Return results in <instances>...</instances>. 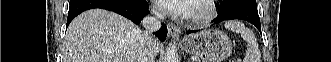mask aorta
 Masks as SVG:
<instances>
[{"label":"aorta","mask_w":331,"mask_h":62,"mask_svg":"<svg viewBox=\"0 0 331 62\" xmlns=\"http://www.w3.org/2000/svg\"><path fill=\"white\" fill-rule=\"evenodd\" d=\"M164 62H178V54L175 42H171L167 48L164 57Z\"/></svg>","instance_id":"aorta-1"}]
</instances>
